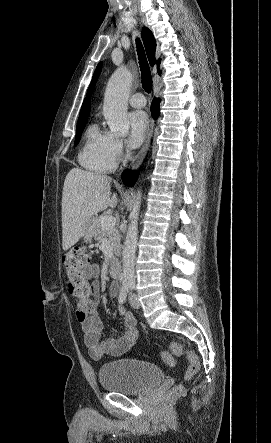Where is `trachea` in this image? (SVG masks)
<instances>
[{
	"instance_id": "3493384b",
	"label": "trachea",
	"mask_w": 271,
	"mask_h": 443,
	"mask_svg": "<svg viewBox=\"0 0 271 443\" xmlns=\"http://www.w3.org/2000/svg\"><path fill=\"white\" fill-rule=\"evenodd\" d=\"M123 1L124 3L127 4L129 3L130 0H123ZM136 45H137V52H138L140 69H141L142 87L147 93H150L152 90V77H151L150 67L145 56L144 48L139 39L136 40Z\"/></svg>"
}]
</instances>
